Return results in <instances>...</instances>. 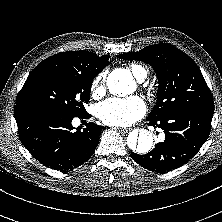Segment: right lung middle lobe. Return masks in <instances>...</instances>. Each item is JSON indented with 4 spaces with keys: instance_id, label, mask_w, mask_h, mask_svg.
Segmentation results:
<instances>
[{
    "instance_id": "obj_1",
    "label": "right lung middle lobe",
    "mask_w": 222,
    "mask_h": 222,
    "mask_svg": "<svg viewBox=\"0 0 222 222\" xmlns=\"http://www.w3.org/2000/svg\"><path fill=\"white\" fill-rule=\"evenodd\" d=\"M96 75L56 70L26 80L15 106H45L72 116L87 114L84 103L90 99Z\"/></svg>"
}]
</instances>
